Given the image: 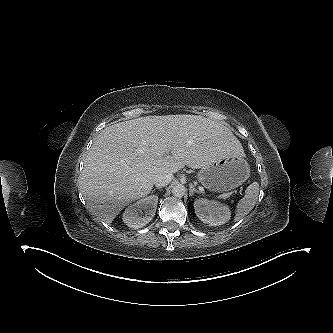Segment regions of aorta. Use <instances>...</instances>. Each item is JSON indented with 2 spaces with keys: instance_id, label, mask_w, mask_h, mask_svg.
I'll return each instance as SVG.
<instances>
[{
  "instance_id": "1",
  "label": "aorta",
  "mask_w": 333,
  "mask_h": 333,
  "mask_svg": "<svg viewBox=\"0 0 333 333\" xmlns=\"http://www.w3.org/2000/svg\"><path fill=\"white\" fill-rule=\"evenodd\" d=\"M186 192V188L182 184H176L172 187V194L175 197H183Z\"/></svg>"
}]
</instances>
